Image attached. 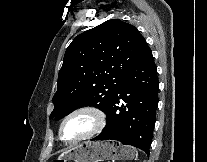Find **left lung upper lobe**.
<instances>
[{"label":"left lung upper lobe","mask_w":207,"mask_h":162,"mask_svg":"<svg viewBox=\"0 0 207 162\" xmlns=\"http://www.w3.org/2000/svg\"><path fill=\"white\" fill-rule=\"evenodd\" d=\"M149 50L137 28L120 19L78 35L65 52L50 119L87 105L107 113L118 87Z\"/></svg>","instance_id":"1"}]
</instances>
